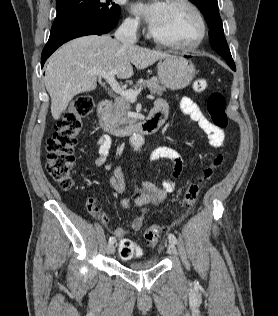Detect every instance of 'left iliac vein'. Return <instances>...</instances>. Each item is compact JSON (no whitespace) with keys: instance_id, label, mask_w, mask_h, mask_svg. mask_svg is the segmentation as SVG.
I'll return each instance as SVG.
<instances>
[{"instance_id":"left-iliac-vein-1","label":"left iliac vein","mask_w":278,"mask_h":316,"mask_svg":"<svg viewBox=\"0 0 278 316\" xmlns=\"http://www.w3.org/2000/svg\"><path fill=\"white\" fill-rule=\"evenodd\" d=\"M168 253L171 255H177V249L173 243H169L168 245Z\"/></svg>"}]
</instances>
